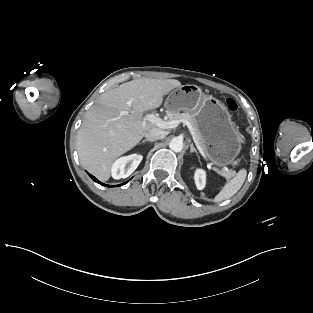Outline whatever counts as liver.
<instances>
[{
	"label": "liver",
	"instance_id": "6515ba94",
	"mask_svg": "<svg viewBox=\"0 0 313 313\" xmlns=\"http://www.w3.org/2000/svg\"><path fill=\"white\" fill-rule=\"evenodd\" d=\"M180 86L174 79L140 78L103 93L86 113L77 134L82 166L107 181L114 161L157 128L145 119V113L160 107L163 97Z\"/></svg>",
	"mask_w": 313,
	"mask_h": 313
}]
</instances>
